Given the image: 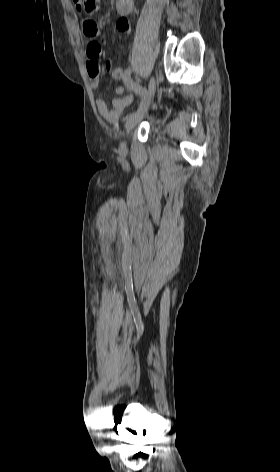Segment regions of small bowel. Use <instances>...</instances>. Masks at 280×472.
Wrapping results in <instances>:
<instances>
[{"label": "small bowel", "mask_w": 280, "mask_h": 472, "mask_svg": "<svg viewBox=\"0 0 280 472\" xmlns=\"http://www.w3.org/2000/svg\"><path fill=\"white\" fill-rule=\"evenodd\" d=\"M78 10H83L78 4H75ZM134 7L133 0H117L116 11L119 18L116 22V29L121 33H130L131 26L127 19V16L132 12ZM82 30L84 35L90 39L86 48L87 57V72L90 77L91 87L97 88L99 84V78L101 73V67L99 64V57L101 54V46L96 40L99 35V28L97 23L91 18H85L82 22ZM125 92L124 86H118L116 93L122 95ZM133 101L131 96L122 98H115L112 101V108H108L107 104L102 99L96 100V107L100 115L109 122H115L123 110L129 106Z\"/></svg>", "instance_id": "1"}]
</instances>
